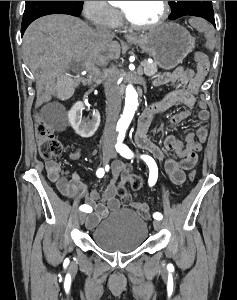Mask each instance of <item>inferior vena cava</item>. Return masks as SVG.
Instances as JSON below:
<instances>
[{"mask_svg":"<svg viewBox=\"0 0 237 300\" xmlns=\"http://www.w3.org/2000/svg\"><path fill=\"white\" fill-rule=\"evenodd\" d=\"M96 33L100 39H105V41H112L115 37L109 27L103 25V23H98L96 25ZM105 71V81H104V91L106 95V125H105V141L107 139H115V127L118 119V115L121 109V95L119 87L116 83V75L114 67L110 69H104Z\"/></svg>","mask_w":237,"mask_h":300,"instance_id":"602c4592","label":"inferior vena cava"}]
</instances>
